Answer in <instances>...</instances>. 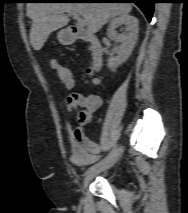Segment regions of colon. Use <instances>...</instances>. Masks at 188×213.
Masks as SVG:
<instances>
[{
  "instance_id": "1",
  "label": "colon",
  "mask_w": 188,
  "mask_h": 213,
  "mask_svg": "<svg viewBox=\"0 0 188 213\" xmlns=\"http://www.w3.org/2000/svg\"><path fill=\"white\" fill-rule=\"evenodd\" d=\"M51 65H52V68H53L54 72L58 76V78L67 87H73L74 86V80H73L70 72L68 71V69L64 65H62L61 63H59L57 61H52ZM88 74H91L90 70H88ZM95 82L98 83L99 80L96 79Z\"/></svg>"
}]
</instances>
